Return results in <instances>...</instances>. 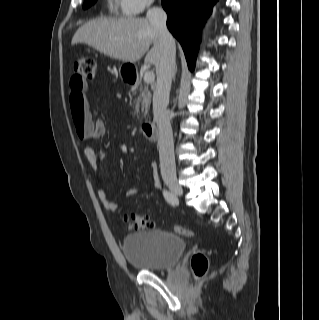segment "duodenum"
<instances>
[{
	"label": "duodenum",
	"instance_id": "410a0bca",
	"mask_svg": "<svg viewBox=\"0 0 319 320\" xmlns=\"http://www.w3.org/2000/svg\"><path fill=\"white\" fill-rule=\"evenodd\" d=\"M128 71V68L126 69ZM128 83H135L137 81L136 75L134 73H129L125 76ZM142 131L149 141H156L158 138L157 127L154 123L145 122L142 125Z\"/></svg>",
	"mask_w": 319,
	"mask_h": 320
}]
</instances>
